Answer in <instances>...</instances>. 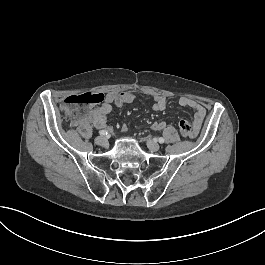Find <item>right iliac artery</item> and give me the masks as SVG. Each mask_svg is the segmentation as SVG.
<instances>
[{
  "label": "right iliac artery",
  "instance_id": "82829eb1",
  "mask_svg": "<svg viewBox=\"0 0 265 265\" xmlns=\"http://www.w3.org/2000/svg\"><path fill=\"white\" fill-rule=\"evenodd\" d=\"M99 134L100 135H107V132L105 130H101V131H99Z\"/></svg>",
  "mask_w": 265,
  "mask_h": 265
}]
</instances>
